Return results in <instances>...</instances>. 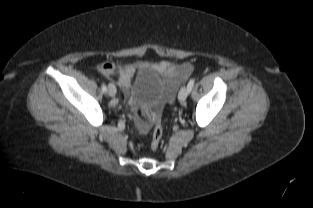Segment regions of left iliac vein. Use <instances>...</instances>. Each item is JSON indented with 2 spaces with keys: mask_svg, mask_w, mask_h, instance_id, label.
<instances>
[{
  "mask_svg": "<svg viewBox=\"0 0 313 208\" xmlns=\"http://www.w3.org/2000/svg\"><path fill=\"white\" fill-rule=\"evenodd\" d=\"M189 94L187 87H182L178 94V99L180 102H184Z\"/></svg>",
  "mask_w": 313,
  "mask_h": 208,
  "instance_id": "4c4485c4",
  "label": "left iliac vein"
}]
</instances>
